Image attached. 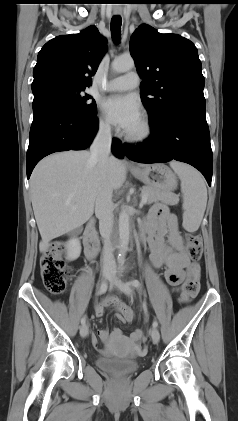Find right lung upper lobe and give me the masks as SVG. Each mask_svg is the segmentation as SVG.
Here are the masks:
<instances>
[{
  "mask_svg": "<svg viewBox=\"0 0 238 421\" xmlns=\"http://www.w3.org/2000/svg\"><path fill=\"white\" fill-rule=\"evenodd\" d=\"M105 51L106 40L94 26L55 37L38 53L32 86L46 82L90 86Z\"/></svg>",
  "mask_w": 238,
  "mask_h": 421,
  "instance_id": "cb5924a9",
  "label": "right lung upper lobe"
}]
</instances>
